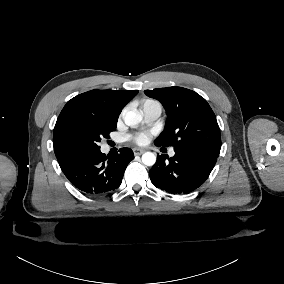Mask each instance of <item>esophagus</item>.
I'll use <instances>...</instances> for the list:
<instances>
[{"label":"esophagus","mask_w":284,"mask_h":284,"mask_svg":"<svg viewBox=\"0 0 284 284\" xmlns=\"http://www.w3.org/2000/svg\"><path fill=\"white\" fill-rule=\"evenodd\" d=\"M132 150H133L134 155H141L145 152V150L141 148H133Z\"/></svg>","instance_id":"34e87169"}]
</instances>
